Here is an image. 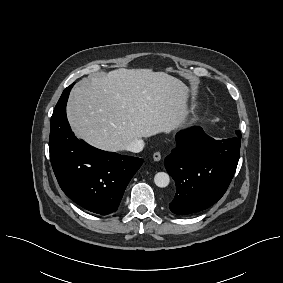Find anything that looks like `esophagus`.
Wrapping results in <instances>:
<instances>
[{
  "label": "esophagus",
  "instance_id": "34e87169",
  "mask_svg": "<svg viewBox=\"0 0 283 283\" xmlns=\"http://www.w3.org/2000/svg\"><path fill=\"white\" fill-rule=\"evenodd\" d=\"M153 159H154V161H160V160H161V154H160V152H155V153L153 154Z\"/></svg>",
  "mask_w": 283,
  "mask_h": 283
}]
</instances>
